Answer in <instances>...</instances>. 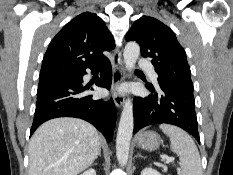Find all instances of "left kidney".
<instances>
[{"instance_id": "obj_1", "label": "left kidney", "mask_w": 233, "mask_h": 175, "mask_svg": "<svg viewBox=\"0 0 233 175\" xmlns=\"http://www.w3.org/2000/svg\"><path fill=\"white\" fill-rule=\"evenodd\" d=\"M141 175H161V174L152 168H145L142 170Z\"/></svg>"}]
</instances>
